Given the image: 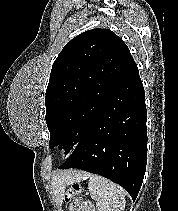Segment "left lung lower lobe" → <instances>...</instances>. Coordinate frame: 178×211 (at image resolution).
<instances>
[{
	"instance_id": "1",
	"label": "left lung lower lobe",
	"mask_w": 178,
	"mask_h": 211,
	"mask_svg": "<svg viewBox=\"0 0 178 211\" xmlns=\"http://www.w3.org/2000/svg\"><path fill=\"white\" fill-rule=\"evenodd\" d=\"M145 94L135 61L121 74L89 133L59 169L80 168L124 187L135 201L147 162Z\"/></svg>"
}]
</instances>
